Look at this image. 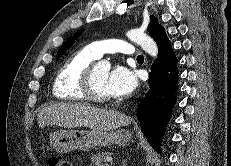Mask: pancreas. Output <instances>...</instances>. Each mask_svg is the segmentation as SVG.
Wrapping results in <instances>:
<instances>
[{
	"label": "pancreas",
	"mask_w": 231,
	"mask_h": 166,
	"mask_svg": "<svg viewBox=\"0 0 231 166\" xmlns=\"http://www.w3.org/2000/svg\"><path fill=\"white\" fill-rule=\"evenodd\" d=\"M110 156L109 152H101L92 155L91 157V162L93 166H109L108 164L105 163L106 158Z\"/></svg>",
	"instance_id": "pancreas-1"
}]
</instances>
